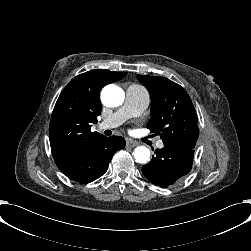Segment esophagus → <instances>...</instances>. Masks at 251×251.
Returning a JSON list of instances; mask_svg holds the SVG:
<instances>
[{"label": "esophagus", "instance_id": "obj_1", "mask_svg": "<svg viewBox=\"0 0 251 251\" xmlns=\"http://www.w3.org/2000/svg\"><path fill=\"white\" fill-rule=\"evenodd\" d=\"M138 145H139V142H137V141L130 140V139L127 140V146H129V147H135Z\"/></svg>", "mask_w": 251, "mask_h": 251}]
</instances>
